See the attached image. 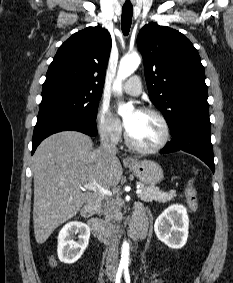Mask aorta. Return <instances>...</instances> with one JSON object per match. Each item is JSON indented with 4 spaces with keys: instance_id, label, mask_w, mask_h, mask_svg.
I'll return each mask as SVG.
<instances>
[{
    "instance_id": "obj_1",
    "label": "aorta",
    "mask_w": 233,
    "mask_h": 283,
    "mask_svg": "<svg viewBox=\"0 0 233 283\" xmlns=\"http://www.w3.org/2000/svg\"><path fill=\"white\" fill-rule=\"evenodd\" d=\"M141 58L138 54H130L124 56L119 63L116 80L113 84V88L116 92L121 93L122 81L129 77L140 65ZM133 109L132 104H120L118 107V113L121 116L126 115ZM121 264L127 265L129 263V244L124 241L121 249Z\"/></svg>"
}]
</instances>
